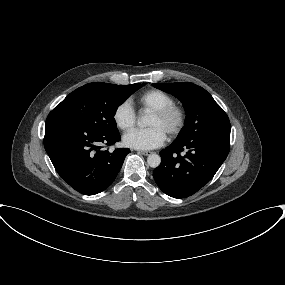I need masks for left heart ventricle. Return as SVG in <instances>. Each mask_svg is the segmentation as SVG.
I'll return each mask as SVG.
<instances>
[{
  "mask_svg": "<svg viewBox=\"0 0 285 285\" xmlns=\"http://www.w3.org/2000/svg\"><path fill=\"white\" fill-rule=\"evenodd\" d=\"M173 124H174L173 118L161 119L154 114L150 116L147 123L149 127L157 126L161 128L165 133H167V131L173 126Z\"/></svg>",
  "mask_w": 285,
  "mask_h": 285,
  "instance_id": "b2bd125f",
  "label": "left heart ventricle"
}]
</instances>
